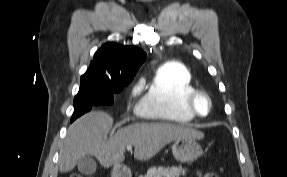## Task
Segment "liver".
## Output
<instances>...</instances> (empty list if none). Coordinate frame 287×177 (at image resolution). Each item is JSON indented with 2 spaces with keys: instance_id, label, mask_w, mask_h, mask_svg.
I'll use <instances>...</instances> for the list:
<instances>
[{
  "instance_id": "6515ba94",
  "label": "liver",
  "mask_w": 287,
  "mask_h": 177,
  "mask_svg": "<svg viewBox=\"0 0 287 177\" xmlns=\"http://www.w3.org/2000/svg\"><path fill=\"white\" fill-rule=\"evenodd\" d=\"M113 125L110 115L101 111L89 112L69 126L60 149L59 170H73L84 156H95L107 168L125 159L127 146H134V158L149 160L168 143L179 138H204V134L188 126L171 123H135L119 129L107 139Z\"/></svg>"
}]
</instances>
